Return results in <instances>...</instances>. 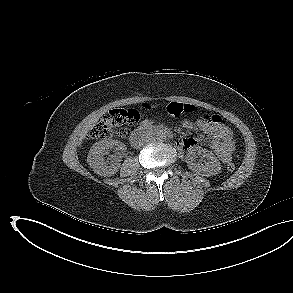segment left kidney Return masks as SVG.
<instances>
[{
	"instance_id": "left-kidney-1",
	"label": "left kidney",
	"mask_w": 293,
	"mask_h": 293,
	"mask_svg": "<svg viewBox=\"0 0 293 293\" xmlns=\"http://www.w3.org/2000/svg\"><path fill=\"white\" fill-rule=\"evenodd\" d=\"M198 155L203 156L207 161L204 164L197 162L196 158ZM186 162L192 171L206 177L216 175L221 170L217 157L211 151L201 147H192L186 155Z\"/></svg>"
}]
</instances>
